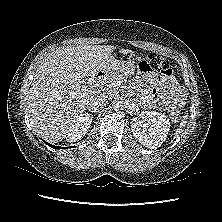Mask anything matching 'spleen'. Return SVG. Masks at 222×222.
Wrapping results in <instances>:
<instances>
[{
	"label": "spleen",
	"instance_id": "3e777b00",
	"mask_svg": "<svg viewBox=\"0 0 222 222\" xmlns=\"http://www.w3.org/2000/svg\"><path fill=\"white\" fill-rule=\"evenodd\" d=\"M187 123V116L183 117V120L181 121L179 127L177 128L176 132H175V136H178L179 134H181L184 130V127L186 126Z\"/></svg>",
	"mask_w": 222,
	"mask_h": 222
}]
</instances>
